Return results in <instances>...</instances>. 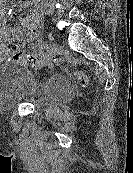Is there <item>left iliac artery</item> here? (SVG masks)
<instances>
[{
  "label": "left iliac artery",
  "instance_id": "44dca946",
  "mask_svg": "<svg viewBox=\"0 0 133 173\" xmlns=\"http://www.w3.org/2000/svg\"><path fill=\"white\" fill-rule=\"evenodd\" d=\"M40 45L44 49H47L48 48V44L46 42H44V41H41Z\"/></svg>",
  "mask_w": 133,
  "mask_h": 173
}]
</instances>
